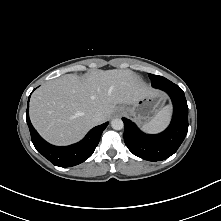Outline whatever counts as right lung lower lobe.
Masks as SVG:
<instances>
[{"label": "right lung lower lobe", "instance_id": "1", "mask_svg": "<svg viewBox=\"0 0 221 221\" xmlns=\"http://www.w3.org/2000/svg\"><path fill=\"white\" fill-rule=\"evenodd\" d=\"M29 100L27 105L26 120L31 134V140L35 148L52 164L60 167L78 165L88 159L97 147L101 134L108 122L91 129L78 143L70 146H54L47 143L34 129L29 119Z\"/></svg>", "mask_w": 221, "mask_h": 221}]
</instances>
